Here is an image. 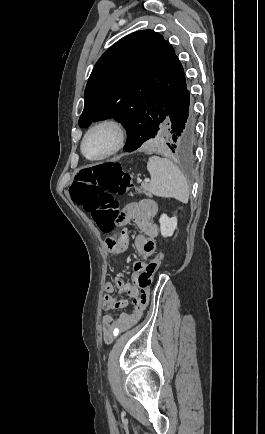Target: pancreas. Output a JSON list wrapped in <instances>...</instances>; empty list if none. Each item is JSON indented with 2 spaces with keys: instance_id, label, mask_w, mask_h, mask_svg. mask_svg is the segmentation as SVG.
I'll return each mask as SVG.
<instances>
[{
  "instance_id": "cf45deb5",
  "label": "pancreas",
  "mask_w": 265,
  "mask_h": 434,
  "mask_svg": "<svg viewBox=\"0 0 265 434\" xmlns=\"http://www.w3.org/2000/svg\"><path fill=\"white\" fill-rule=\"evenodd\" d=\"M141 188H143V192H144L145 196H148V198H152V194L149 190V184H146V182H143V184H141Z\"/></svg>"
}]
</instances>
